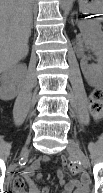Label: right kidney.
<instances>
[{
  "label": "right kidney",
  "instance_id": "right-kidney-1",
  "mask_svg": "<svg viewBox=\"0 0 103 193\" xmlns=\"http://www.w3.org/2000/svg\"><path fill=\"white\" fill-rule=\"evenodd\" d=\"M26 70L25 64L13 66L1 73L0 97L2 100L14 99L20 89V76Z\"/></svg>",
  "mask_w": 103,
  "mask_h": 193
}]
</instances>
